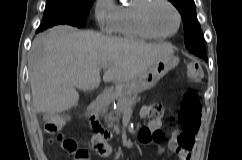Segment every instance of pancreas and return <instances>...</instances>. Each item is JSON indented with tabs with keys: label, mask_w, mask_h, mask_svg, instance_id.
Returning a JSON list of instances; mask_svg holds the SVG:
<instances>
[{
	"label": "pancreas",
	"mask_w": 242,
	"mask_h": 160,
	"mask_svg": "<svg viewBox=\"0 0 242 160\" xmlns=\"http://www.w3.org/2000/svg\"><path fill=\"white\" fill-rule=\"evenodd\" d=\"M113 99L117 100V108L116 110L108 113L105 115V121L108 122L109 126H114V130L119 133L118 125H115V122L119 121L120 115L127 109L132 108V106L140 99L137 95H130V96H120L117 97L116 95L112 96ZM103 112H107V108L103 109ZM115 114V115H114Z\"/></svg>",
	"instance_id": "pancreas-1"
}]
</instances>
